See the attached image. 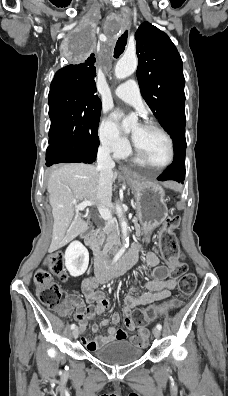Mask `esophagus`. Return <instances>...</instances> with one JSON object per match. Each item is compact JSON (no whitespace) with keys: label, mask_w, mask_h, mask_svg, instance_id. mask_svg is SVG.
I'll use <instances>...</instances> for the list:
<instances>
[{"label":"esophagus","mask_w":228,"mask_h":396,"mask_svg":"<svg viewBox=\"0 0 228 396\" xmlns=\"http://www.w3.org/2000/svg\"><path fill=\"white\" fill-rule=\"evenodd\" d=\"M130 13H131V11H130L129 8H123V9L121 10V14H122L124 17H129V16H130ZM119 169H120L123 173H125V174H129V175L132 174V171H131L129 168L125 167V166H120Z\"/></svg>","instance_id":"esophagus-1"}]
</instances>
